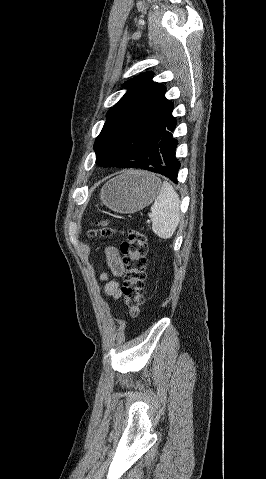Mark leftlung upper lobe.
<instances>
[{
    "instance_id": "5c2ea615",
    "label": "left lung upper lobe",
    "mask_w": 266,
    "mask_h": 479,
    "mask_svg": "<svg viewBox=\"0 0 266 479\" xmlns=\"http://www.w3.org/2000/svg\"><path fill=\"white\" fill-rule=\"evenodd\" d=\"M152 77L146 72L123 85L127 92L108 111L94 143L99 166L138 167L155 158L173 104L165 98L166 87Z\"/></svg>"
}]
</instances>
